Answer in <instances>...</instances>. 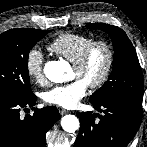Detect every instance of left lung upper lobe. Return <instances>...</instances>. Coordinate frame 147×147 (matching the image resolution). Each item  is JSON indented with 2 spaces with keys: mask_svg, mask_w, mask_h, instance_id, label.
Wrapping results in <instances>:
<instances>
[{
  "mask_svg": "<svg viewBox=\"0 0 147 147\" xmlns=\"http://www.w3.org/2000/svg\"><path fill=\"white\" fill-rule=\"evenodd\" d=\"M107 32L113 42V70L104 85L90 97L91 103L128 101L142 107L143 79L135 48L125 32L104 23L86 25Z\"/></svg>",
  "mask_w": 147,
  "mask_h": 147,
  "instance_id": "5c2ea615",
  "label": "left lung upper lobe"
}]
</instances>
